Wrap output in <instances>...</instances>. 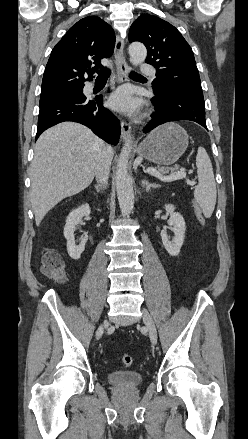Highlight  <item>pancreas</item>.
Segmentation results:
<instances>
[{
	"mask_svg": "<svg viewBox=\"0 0 248 439\" xmlns=\"http://www.w3.org/2000/svg\"><path fill=\"white\" fill-rule=\"evenodd\" d=\"M173 169L177 170L178 167H175V168H173ZM170 171H172V169L158 168V172H159L160 174H168ZM176 173H178V172H171V175H172V174H176Z\"/></svg>",
	"mask_w": 248,
	"mask_h": 439,
	"instance_id": "cf45deb5",
	"label": "pancreas"
}]
</instances>
